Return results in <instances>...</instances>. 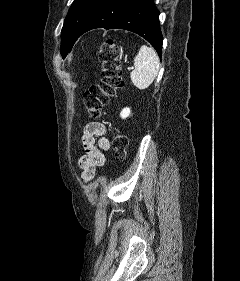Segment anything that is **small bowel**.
Returning <instances> with one entry per match:
<instances>
[{"label":"small bowel","instance_id":"1","mask_svg":"<svg viewBox=\"0 0 240 281\" xmlns=\"http://www.w3.org/2000/svg\"><path fill=\"white\" fill-rule=\"evenodd\" d=\"M106 133V126L100 122H89L82 131L81 143L85 154L80 157L78 166L81 169L84 183L91 181L95 177L97 169L105 164L103 151H107L111 147Z\"/></svg>","mask_w":240,"mask_h":281}]
</instances>
